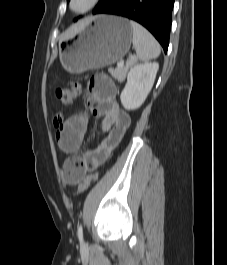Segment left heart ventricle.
I'll use <instances>...</instances> for the list:
<instances>
[{
  "label": "left heart ventricle",
  "mask_w": 227,
  "mask_h": 265,
  "mask_svg": "<svg viewBox=\"0 0 227 265\" xmlns=\"http://www.w3.org/2000/svg\"><path fill=\"white\" fill-rule=\"evenodd\" d=\"M89 0H75L74 8L81 9L88 4Z\"/></svg>",
  "instance_id": "b2bd125f"
}]
</instances>
